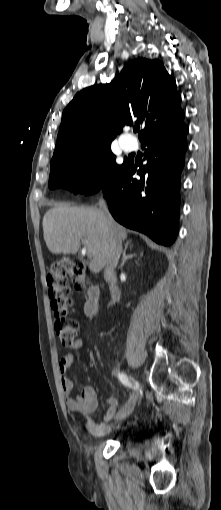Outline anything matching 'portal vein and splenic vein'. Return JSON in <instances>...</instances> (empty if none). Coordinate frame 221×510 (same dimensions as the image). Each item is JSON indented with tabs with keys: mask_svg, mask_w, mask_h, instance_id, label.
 I'll return each mask as SVG.
<instances>
[{
	"mask_svg": "<svg viewBox=\"0 0 221 510\" xmlns=\"http://www.w3.org/2000/svg\"><path fill=\"white\" fill-rule=\"evenodd\" d=\"M86 247H87V246H86ZM86 254H87V256H88L89 258H92V256H93V252H92V250H91V249H89V248H87Z\"/></svg>",
	"mask_w": 221,
	"mask_h": 510,
	"instance_id": "obj_1",
	"label": "portal vein and splenic vein"
}]
</instances>
